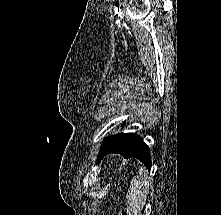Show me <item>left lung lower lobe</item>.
Here are the masks:
<instances>
[{"mask_svg": "<svg viewBox=\"0 0 221 215\" xmlns=\"http://www.w3.org/2000/svg\"><path fill=\"white\" fill-rule=\"evenodd\" d=\"M109 153H119L124 158L136 157L148 169L151 168V157L148 146L136 134L125 133L106 138L100 148L98 159Z\"/></svg>", "mask_w": 221, "mask_h": 215, "instance_id": "obj_1", "label": "left lung lower lobe"}]
</instances>
